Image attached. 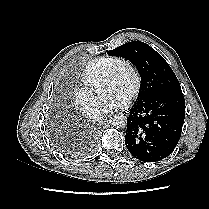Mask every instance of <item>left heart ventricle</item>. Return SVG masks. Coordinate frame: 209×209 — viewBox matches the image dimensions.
Masks as SVG:
<instances>
[{
	"label": "left heart ventricle",
	"instance_id": "obj_1",
	"mask_svg": "<svg viewBox=\"0 0 209 209\" xmlns=\"http://www.w3.org/2000/svg\"><path fill=\"white\" fill-rule=\"evenodd\" d=\"M132 82V73L129 69L123 68L114 81L105 84L104 93L107 97L113 96L115 93H122L128 96Z\"/></svg>",
	"mask_w": 209,
	"mask_h": 209
}]
</instances>
